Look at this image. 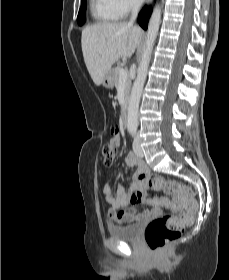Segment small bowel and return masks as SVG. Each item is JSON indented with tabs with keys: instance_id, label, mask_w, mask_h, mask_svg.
<instances>
[{
	"instance_id": "small-bowel-1",
	"label": "small bowel",
	"mask_w": 229,
	"mask_h": 280,
	"mask_svg": "<svg viewBox=\"0 0 229 280\" xmlns=\"http://www.w3.org/2000/svg\"><path fill=\"white\" fill-rule=\"evenodd\" d=\"M120 135L114 134L110 138V143L112 145H118L120 143ZM123 165L128 167H135V171L132 176V183L128 190L123 191L121 188H118L116 193L112 192V189L109 185H105L104 194L111 204V207L108 210V216L112 222L117 224H127L139 220L140 218H150L152 216L160 214L162 208L174 209L175 205L168 198L163 196H149L150 185L140 179L142 174H149L144 168V163L141 158L136 156L133 153H129L123 160ZM142 194L141 203L150 206L149 209L139 213L136 204L131 201V198L136 193ZM129 206V207H128ZM125 210L118 211L119 209L126 208Z\"/></svg>"
}]
</instances>
